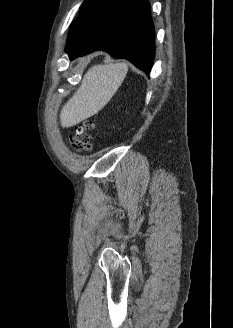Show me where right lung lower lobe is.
<instances>
[{"label": "right lung lower lobe", "mask_w": 233, "mask_h": 328, "mask_svg": "<svg viewBox=\"0 0 233 328\" xmlns=\"http://www.w3.org/2000/svg\"><path fill=\"white\" fill-rule=\"evenodd\" d=\"M149 9L147 0H93L71 24L66 45L70 60L104 50L150 73L155 42Z\"/></svg>", "instance_id": "1"}]
</instances>
